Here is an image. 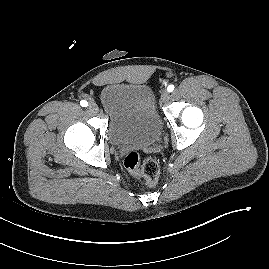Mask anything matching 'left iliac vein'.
<instances>
[{
    "instance_id": "left-iliac-vein-1",
    "label": "left iliac vein",
    "mask_w": 269,
    "mask_h": 269,
    "mask_svg": "<svg viewBox=\"0 0 269 269\" xmlns=\"http://www.w3.org/2000/svg\"><path fill=\"white\" fill-rule=\"evenodd\" d=\"M169 98H170L169 92L166 91V90H163L162 93H161V100L163 102H167L169 100Z\"/></svg>"
}]
</instances>
